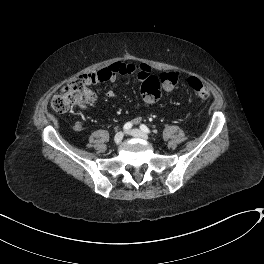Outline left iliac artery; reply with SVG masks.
<instances>
[{
    "label": "left iliac artery",
    "mask_w": 264,
    "mask_h": 264,
    "mask_svg": "<svg viewBox=\"0 0 264 264\" xmlns=\"http://www.w3.org/2000/svg\"><path fill=\"white\" fill-rule=\"evenodd\" d=\"M140 129L146 133H151L150 129L144 124L140 125Z\"/></svg>",
    "instance_id": "1"
}]
</instances>
